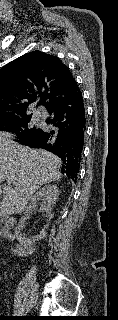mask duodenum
Listing matches in <instances>:
<instances>
[{
  "label": "duodenum",
  "mask_w": 118,
  "mask_h": 320,
  "mask_svg": "<svg viewBox=\"0 0 118 320\" xmlns=\"http://www.w3.org/2000/svg\"><path fill=\"white\" fill-rule=\"evenodd\" d=\"M15 225V221L13 219H6L1 231L0 235L7 240L14 239V235L12 232V228Z\"/></svg>",
  "instance_id": "obj_1"
}]
</instances>
